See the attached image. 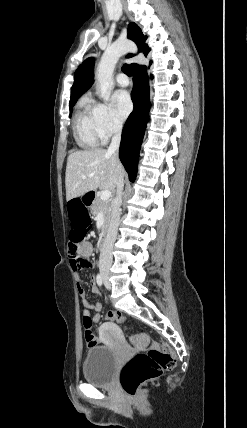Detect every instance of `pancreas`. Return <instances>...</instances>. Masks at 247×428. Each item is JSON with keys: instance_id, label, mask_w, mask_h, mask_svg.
Masks as SVG:
<instances>
[{"instance_id": "1", "label": "pancreas", "mask_w": 247, "mask_h": 428, "mask_svg": "<svg viewBox=\"0 0 247 428\" xmlns=\"http://www.w3.org/2000/svg\"><path fill=\"white\" fill-rule=\"evenodd\" d=\"M110 202L104 201L100 196H97L93 205H92V213L94 216H97L98 213L102 212L104 215L105 225L108 223L110 219ZM105 225L102 227L104 229Z\"/></svg>"}]
</instances>
